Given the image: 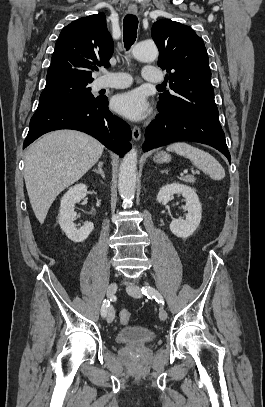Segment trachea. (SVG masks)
Here are the masks:
<instances>
[{
  "label": "trachea",
  "mask_w": 265,
  "mask_h": 407,
  "mask_svg": "<svg viewBox=\"0 0 265 407\" xmlns=\"http://www.w3.org/2000/svg\"><path fill=\"white\" fill-rule=\"evenodd\" d=\"M137 28H138L137 17L133 14L126 15L123 20V37L124 44L127 50L131 47V45H133V43L136 40ZM158 86L160 87L162 85Z\"/></svg>",
  "instance_id": "obj_1"
}]
</instances>
